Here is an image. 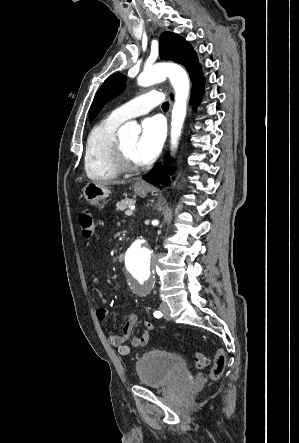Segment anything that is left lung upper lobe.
Here are the masks:
<instances>
[{"label":"left lung upper lobe","mask_w":299,"mask_h":443,"mask_svg":"<svg viewBox=\"0 0 299 443\" xmlns=\"http://www.w3.org/2000/svg\"><path fill=\"white\" fill-rule=\"evenodd\" d=\"M160 56L163 59L172 60L182 64L190 74V77L195 71L201 67L198 64L197 56L191 45L181 36L164 32L159 40ZM126 78L121 73H116L110 76L97 91L92 102L89 119L96 117L102 107L111 99L120 94L125 88Z\"/></svg>","instance_id":"1"}]
</instances>
